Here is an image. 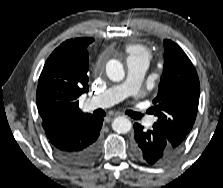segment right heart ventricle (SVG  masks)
Returning <instances> with one entry per match:
<instances>
[{
	"label": "right heart ventricle",
	"instance_id": "obj_1",
	"mask_svg": "<svg viewBox=\"0 0 223 188\" xmlns=\"http://www.w3.org/2000/svg\"><path fill=\"white\" fill-rule=\"evenodd\" d=\"M126 52L128 58H143L146 61H150L152 55L150 50L140 44L131 43L126 46Z\"/></svg>",
	"mask_w": 223,
	"mask_h": 188
}]
</instances>
